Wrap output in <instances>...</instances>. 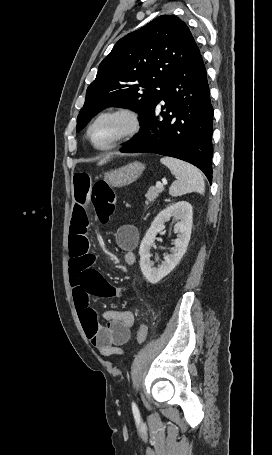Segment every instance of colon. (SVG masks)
I'll return each mask as SVG.
<instances>
[{
  "mask_svg": "<svg viewBox=\"0 0 272 455\" xmlns=\"http://www.w3.org/2000/svg\"><path fill=\"white\" fill-rule=\"evenodd\" d=\"M91 203L94 212L101 223H107L114 213L116 199L114 191L103 180L97 181L91 194ZM148 328L141 324L138 328L136 340L138 344H143L147 338ZM125 352H122L123 355Z\"/></svg>",
  "mask_w": 272,
  "mask_h": 455,
  "instance_id": "colon-1",
  "label": "colon"
}]
</instances>
